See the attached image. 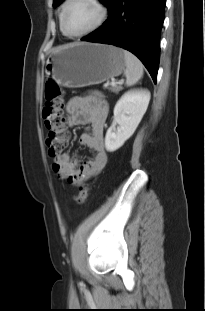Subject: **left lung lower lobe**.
<instances>
[{
	"instance_id": "obj_1",
	"label": "left lung lower lobe",
	"mask_w": 205,
	"mask_h": 311,
	"mask_svg": "<svg viewBox=\"0 0 205 311\" xmlns=\"http://www.w3.org/2000/svg\"><path fill=\"white\" fill-rule=\"evenodd\" d=\"M165 3L166 0H114L109 18L82 40L112 44L132 52L156 83Z\"/></svg>"
}]
</instances>
